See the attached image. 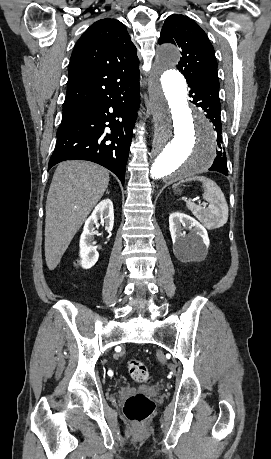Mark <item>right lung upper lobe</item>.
I'll list each match as a JSON object with an SVG mask.
<instances>
[{"mask_svg": "<svg viewBox=\"0 0 271 459\" xmlns=\"http://www.w3.org/2000/svg\"><path fill=\"white\" fill-rule=\"evenodd\" d=\"M137 77V50L125 25L115 19H101L85 31L74 47L63 114Z\"/></svg>", "mask_w": 271, "mask_h": 459, "instance_id": "obj_1", "label": "right lung upper lobe"}]
</instances>
